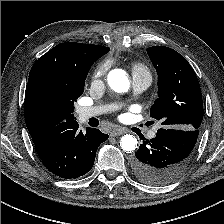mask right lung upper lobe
<instances>
[{"mask_svg":"<svg viewBox=\"0 0 224 224\" xmlns=\"http://www.w3.org/2000/svg\"><path fill=\"white\" fill-rule=\"evenodd\" d=\"M108 51L109 47L99 45L75 42L61 43L49 50L33 64L29 79L46 72L58 73L64 76L75 75L78 72L90 69V66ZM25 121L33 141L46 131L58 126H34L28 120L25 119Z\"/></svg>","mask_w":224,"mask_h":224,"instance_id":"1","label":"right lung upper lobe"}]
</instances>
